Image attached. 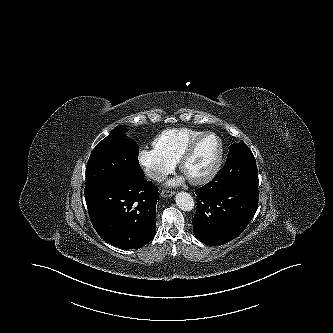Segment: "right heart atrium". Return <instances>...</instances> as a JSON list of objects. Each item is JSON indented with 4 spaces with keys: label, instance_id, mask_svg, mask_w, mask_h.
I'll list each match as a JSON object with an SVG mask.
<instances>
[{
    "label": "right heart atrium",
    "instance_id": "obj_1",
    "mask_svg": "<svg viewBox=\"0 0 333 333\" xmlns=\"http://www.w3.org/2000/svg\"><path fill=\"white\" fill-rule=\"evenodd\" d=\"M138 161L146 175L154 181H161L170 174L176 163L158 153L155 149L144 148L138 154Z\"/></svg>",
    "mask_w": 333,
    "mask_h": 333
}]
</instances>
